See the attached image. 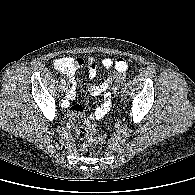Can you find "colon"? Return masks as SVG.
Wrapping results in <instances>:
<instances>
[{
	"mask_svg": "<svg viewBox=\"0 0 195 195\" xmlns=\"http://www.w3.org/2000/svg\"><path fill=\"white\" fill-rule=\"evenodd\" d=\"M56 67L60 69H66L69 67V61L66 58H60L55 61ZM124 75H118L114 80L113 92L117 96L120 92V87L124 82ZM84 126L77 127L75 130L76 138L82 141L90 142H103L105 141V136L99 135L96 125L88 120L84 121Z\"/></svg>",
	"mask_w": 195,
	"mask_h": 195,
	"instance_id": "obj_1",
	"label": "colon"
}]
</instances>
